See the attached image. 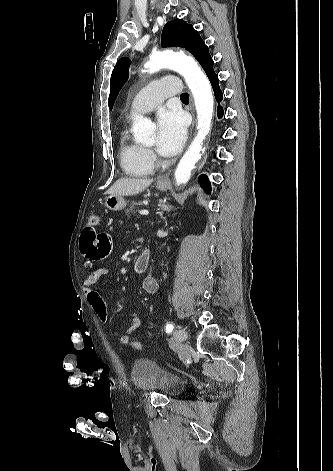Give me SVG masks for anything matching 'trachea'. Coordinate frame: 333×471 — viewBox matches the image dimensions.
I'll return each instance as SVG.
<instances>
[{
  "instance_id": "1",
  "label": "trachea",
  "mask_w": 333,
  "mask_h": 471,
  "mask_svg": "<svg viewBox=\"0 0 333 471\" xmlns=\"http://www.w3.org/2000/svg\"><path fill=\"white\" fill-rule=\"evenodd\" d=\"M180 99H181V100H189V95H188V93H182L181 96H180Z\"/></svg>"
}]
</instances>
